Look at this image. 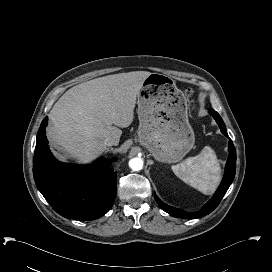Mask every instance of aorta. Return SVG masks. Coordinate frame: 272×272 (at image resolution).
<instances>
[{"instance_id":"762f6f07","label":"aorta","mask_w":272,"mask_h":272,"mask_svg":"<svg viewBox=\"0 0 272 272\" xmlns=\"http://www.w3.org/2000/svg\"><path fill=\"white\" fill-rule=\"evenodd\" d=\"M129 166L133 171L142 170L143 160L139 157H135L129 161Z\"/></svg>"}]
</instances>
